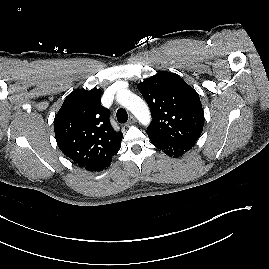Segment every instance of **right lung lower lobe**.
Wrapping results in <instances>:
<instances>
[{"label":"right lung lower lobe","mask_w":269,"mask_h":269,"mask_svg":"<svg viewBox=\"0 0 269 269\" xmlns=\"http://www.w3.org/2000/svg\"><path fill=\"white\" fill-rule=\"evenodd\" d=\"M117 154V153H116ZM111 159H109L108 161H106L105 163L98 165L97 167H95L94 169L90 170V171H102L104 169H106L107 167H109L110 163H111Z\"/></svg>","instance_id":"right-lung-lower-lobe-1"}]
</instances>
